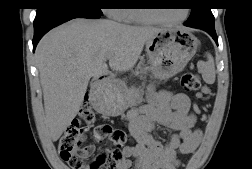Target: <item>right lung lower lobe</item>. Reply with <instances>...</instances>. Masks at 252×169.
Wrapping results in <instances>:
<instances>
[{
    "mask_svg": "<svg viewBox=\"0 0 252 169\" xmlns=\"http://www.w3.org/2000/svg\"><path fill=\"white\" fill-rule=\"evenodd\" d=\"M100 17L101 15L75 8L53 10L36 16L34 20L33 49L35 50L37 43L45 33L64 22L74 18L98 19Z\"/></svg>",
    "mask_w": 252,
    "mask_h": 169,
    "instance_id": "1",
    "label": "right lung lower lobe"
}]
</instances>
